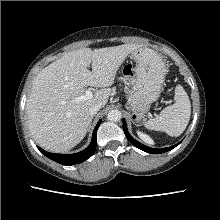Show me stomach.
Listing matches in <instances>:
<instances>
[{"instance_id":"obj_1","label":"stomach","mask_w":220,"mask_h":220,"mask_svg":"<svg viewBox=\"0 0 220 220\" xmlns=\"http://www.w3.org/2000/svg\"><path fill=\"white\" fill-rule=\"evenodd\" d=\"M131 56L136 61V78L128 93L127 104L139 120L160 97L166 66L161 56L149 48H139Z\"/></svg>"}]
</instances>
